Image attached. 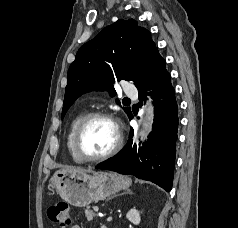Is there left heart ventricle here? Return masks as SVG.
<instances>
[{"mask_svg": "<svg viewBox=\"0 0 238 228\" xmlns=\"http://www.w3.org/2000/svg\"><path fill=\"white\" fill-rule=\"evenodd\" d=\"M116 142V129L107 119L89 123L81 138V151L86 156H99L109 151Z\"/></svg>", "mask_w": 238, "mask_h": 228, "instance_id": "obj_1", "label": "left heart ventricle"}]
</instances>
